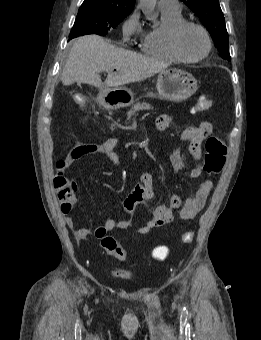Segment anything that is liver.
I'll list each match as a JSON object with an SVG mask.
<instances>
[{"label": "liver", "instance_id": "1", "mask_svg": "<svg viewBox=\"0 0 261 340\" xmlns=\"http://www.w3.org/2000/svg\"><path fill=\"white\" fill-rule=\"evenodd\" d=\"M166 68L162 62L111 45L93 34L79 37L74 42L61 81L66 86L76 82L99 89L115 88L142 81ZM103 71L108 73L104 83L99 75Z\"/></svg>", "mask_w": 261, "mask_h": 340}]
</instances>
